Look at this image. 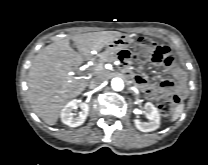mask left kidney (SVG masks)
Here are the masks:
<instances>
[{"mask_svg":"<svg viewBox=\"0 0 208 165\" xmlns=\"http://www.w3.org/2000/svg\"><path fill=\"white\" fill-rule=\"evenodd\" d=\"M146 117L149 119V122H141L138 119L134 120L136 128L142 132H150L159 128L160 125V114L157 108L150 102L145 104Z\"/></svg>","mask_w":208,"mask_h":165,"instance_id":"obj_1","label":"left kidney"}]
</instances>
